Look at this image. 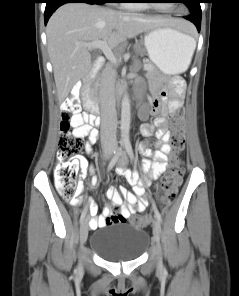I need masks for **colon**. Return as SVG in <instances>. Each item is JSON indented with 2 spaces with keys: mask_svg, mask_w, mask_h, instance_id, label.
Wrapping results in <instances>:
<instances>
[{
  "mask_svg": "<svg viewBox=\"0 0 239 296\" xmlns=\"http://www.w3.org/2000/svg\"><path fill=\"white\" fill-rule=\"evenodd\" d=\"M78 113L79 107L72 99L69 98L62 103L60 114L61 135L57 154L58 162L55 166L54 176L59 194L68 203H73L77 195L79 155L83 149V139L76 133L79 123L75 121V117ZM185 141L183 112L177 110L172 114V132L170 137L174 153L170 168L161 179L163 191L161 200L165 205H168L177 195L180 187L183 165L179 155L184 149ZM124 221L123 217L116 213V209H113L111 215L107 218V223L110 224ZM149 222L150 216L147 214L137 215L131 219V223L136 226H145Z\"/></svg>",
  "mask_w": 239,
  "mask_h": 296,
  "instance_id": "5ec220e1",
  "label": "colon"
}]
</instances>
